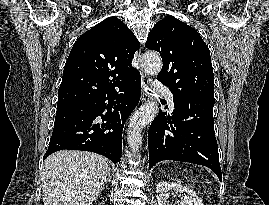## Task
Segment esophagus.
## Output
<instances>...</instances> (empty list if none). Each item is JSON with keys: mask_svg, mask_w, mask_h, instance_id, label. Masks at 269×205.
Returning <instances> with one entry per match:
<instances>
[{"mask_svg": "<svg viewBox=\"0 0 269 205\" xmlns=\"http://www.w3.org/2000/svg\"><path fill=\"white\" fill-rule=\"evenodd\" d=\"M141 83H142L141 100L142 102H148L152 99V95L149 93V90L151 89L150 77L144 72H141Z\"/></svg>", "mask_w": 269, "mask_h": 205, "instance_id": "esophagus-1", "label": "esophagus"}]
</instances>
